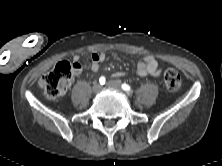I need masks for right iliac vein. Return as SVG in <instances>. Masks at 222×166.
<instances>
[{"mask_svg":"<svg viewBox=\"0 0 222 166\" xmlns=\"http://www.w3.org/2000/svg\"><path fill=\"white\" fill-rule=\"evenodd\" d=\"M102 89V86L99 83H95L92 87L94 93H98Z\"/></svg>","mask_w":222,"mask_h":166,"instance_id":"right-iliac-vein-1","label":"right iliac vein"}]
</instances>
